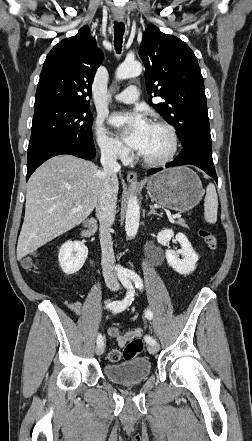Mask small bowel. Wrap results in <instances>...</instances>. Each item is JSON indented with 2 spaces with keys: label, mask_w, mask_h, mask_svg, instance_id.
I'll list each match as a JSON object with an SVG mask.
<instances>
[{
  "label": "small bowel",
  "mask_w": 252,
  "mask_h": 441,
  "mask_svg": "<svg viewBox=\"0 0 252 441\" xmlns=\"http://www.w3.org/2000/svg\"><path fill=\"white\" fill-rule=\"evenodd\" d=\"M70 310L76 315L81 314L82 304L79 301H74L68 304ZM108 335L115 340L119 347H124L128 342L133 340L136 337H140L142 335V329L133 328L127 331L122 332L119 327L112 326L108 329Z\"/></svg>",
  "instance_id": "obj_1"
}]
</instances>
